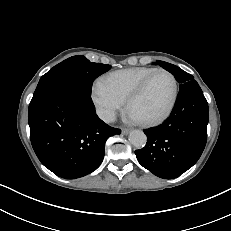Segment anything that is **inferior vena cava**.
Segmentation results:
<instances>
[{
    "instance_id": "obj_1",
    "label": "inferior vena cava",
    "mask_w": 231,
    "mask_h": 231,
    "mask_svg": "<svg viewBox=\"0 0 231 231\" xmlns=\"http://www.w3.org/2000/svg\"><path fill=\"white\" fill-rule=\"evenodd\" d=\"M97 114L100 119H102L106 123L114 122L116 117H115V112L112 110H107V109H98Z\"/></svg>"
}]
</instances>
